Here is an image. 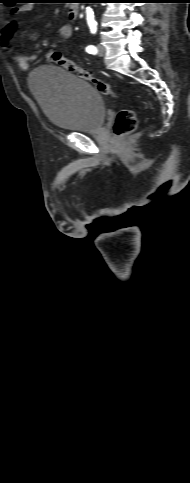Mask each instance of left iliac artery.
I'll list each match as a JSON object with an SVG mask.
<instances>
[{"label": "left iliac artery", "mask_w": 190, "mask_h": 483, "mask_svg": "<svg viewBox=\"0 0 190 483\" xmlns=\"http://www.w3.org/2000/svg\"><path fill=\"white\" fill-rule=\"evenodd\" d=\"M90 27L92 28L93 27V23H89ZM92 32H94L93 29H91ZM86 51L89 53V54H96L97 53V48L93 45H89L86 47Z\"/></svg>", "instance_id": "1"}]
</instances>
